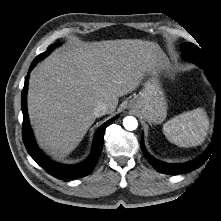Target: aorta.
<instances>
[{
  "label": "aorta",
  "mask_w": 221,
  "mask_h": 221,
  "mask_svg": "<svg viewBox=\"0 0 221 221\" xmlns=\"http://www.w3.org/2000/svg\"><path fill=\"white\" fill-rule=\"evenodd\" d=\"M123 126L126 130L132 131L138 127V121L133 116H127L123 119Z\"/></svg>",
  "instance_id": "1"
}]
</instances>
